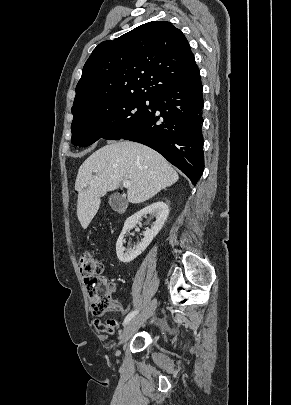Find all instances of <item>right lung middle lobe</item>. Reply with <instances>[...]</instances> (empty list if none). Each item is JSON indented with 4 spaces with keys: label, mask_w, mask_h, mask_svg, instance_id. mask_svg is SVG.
Segmentation results:
<instances>
[{
    "label": "right lung middle lobe",
    "mask_w": 291,
    "mask_h": 405,
    "mask_svg": "<svg viewBox=\"0 0 291 405\" xmlns=\"http://www.w3.org/2000/svg\"><path fill=\"white\" fill-rule=\"evenodd\" d=\"M146 100L150 101L149 106ZM151 106V98L143 96H126L88 105L72 113L71 142L86 147L100 138L121 139L146 119Z\"/></svg>",
    "instance_id": "1"
}]
</instances>
